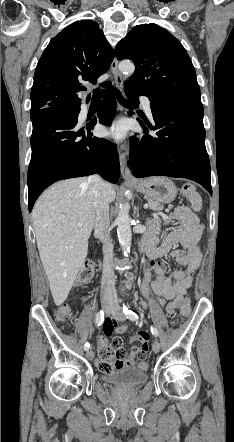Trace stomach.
Masks as SVG:
<instances>
[{
  "label": "stomach",
  "instance_id": "0dacf381",
  "mask_svg": "<svg viewBox=\"0 0 234 442\" xmlns=\"http://www.w3.org/2000/svg\"><path fill=\"white\" fill-rule=\"evenodd\" d=\"M135 189L153 200L169 204L177 195L176 185L166 177H151L140 180Z\"/></svg>",
  "mask_w": 234,
  "mask_h": 442
}]
</instances>
